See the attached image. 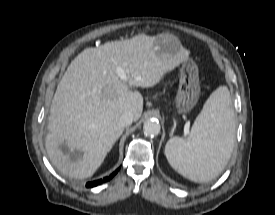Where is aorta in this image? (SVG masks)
Listing matches in <instances>:
<instances>
[{"label":"aorta","mask_w":275,"mask_h":215,"mask_svg":"<svg viewBox=\"0 0 275 215\" xmlns=\"http://www.w3.org/2000/svg\"><path fill=\"white\" fill-rule=\"evenodd\" d=\"M160 124L156 120H147L143 125L144 133L148 136L158 135L160 133Z\"/></svg>","instance_id":"762f6f07"}]
</instances>
